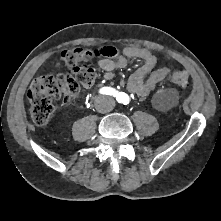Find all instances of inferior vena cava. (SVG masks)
I'll use <instances>...</instances> for the list:
<instances>
[{
	"mask_svg": "<svg viewBox=\"0 0 221 221\" xmlns=\"http://www.w3.org/2000/svg\"><path fill=\"white\" fill-rule=\"evenodd\" d=\"M115 106V101L107 96H102L97 102V110L101 113L110 112Z\"/></svg>",
	"mask_w": 221,
	"mask_h": 221,
	"instance_id": "602c4592",
	"label": "inferior vena cava"
}]
</instances>
